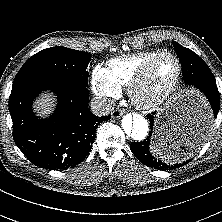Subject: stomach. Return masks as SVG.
Here are the masks:
<instances>
[{
    "label": "stomach",
    "mask_w": 222,
    "mask_h": 222,
    "mask_svg": "<svg viewBox=\"0 0 222 222\" xmlns=\"http://www.w3.org/2000/svg\"><path fill=\"white\" fill-rule=\"evenodd\" d=\"M209 113L207 103L195 91L187 90L171 97L156 116L154 143L166 148V152H174L173 138L189 123L197 118H205Z\"/></svg>",
    "instance_id": "obj_1"
}]
</instances>
